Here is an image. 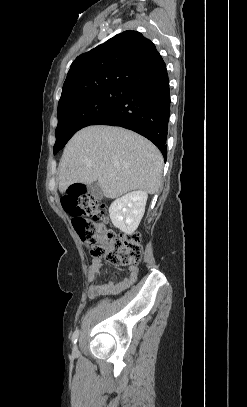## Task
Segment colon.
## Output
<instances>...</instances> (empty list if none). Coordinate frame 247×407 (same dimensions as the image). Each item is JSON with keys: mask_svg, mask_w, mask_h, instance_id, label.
<instances>
[{"mask_svg": "<svg viewBox=\"0 0 247 407\" xmlns=\"http://www.w3.org/2000/svg\"><path fill=\"white\" fill-rule=\"evenodd\" d=\"M63 209L72 216V224L82 243L94 256H103L118 267H133L142 259L138 232L117 235L106 228L105 206L81 185L71 186L62 197Z\"/></svg>", "mask_w": 247, "mask_h": 407, "instance_id": "colon-1", "label": "colon"}]
</instances>
